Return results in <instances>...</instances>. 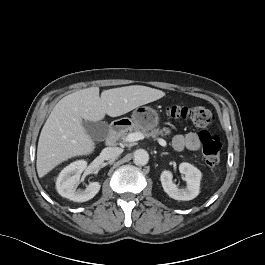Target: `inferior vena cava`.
<instances>
[{
    "label": "inferior vena cava",
    "mask_w": 265,
    "mask_h": 265,
    "mask_svg": "<svg viewBox=\"0 0 265 265\" xmlns=\"http://www.w3.org/2000/svg\"><path fill=\"white\" fill-rule=\"evenodd\" d=\"M123 150L119 147H107L104 148L101 152V156L104 160H110L118 157Z\"/></svg>",
    "instance_id": "1"
}]
</instances>
